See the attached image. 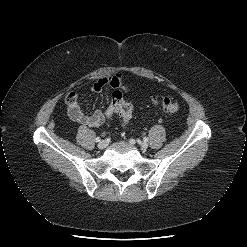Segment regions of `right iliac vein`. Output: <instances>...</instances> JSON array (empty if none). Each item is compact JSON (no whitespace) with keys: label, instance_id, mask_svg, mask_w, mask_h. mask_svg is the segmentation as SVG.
<instances>
[{"label":"right iliac vein","instance_id":"1","mask_svg":"<svg viewBox=\"0 0 247 247\" xmlns=\"http://www.w3.org/2000/svg\"><path fill=\"white\" fill-rule=\"evenodd\" d=\"M108 146V143L106 140H102L98 143V148L99 149H105Z\"/></svg>","mask_w":247,"mask_h":247}]
</instances>
